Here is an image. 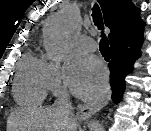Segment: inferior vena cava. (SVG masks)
Here are the masks:
<instances>
[{
  "label": "inferior vena cava",
  "instance_id": "inferior-vena-cava-1",
  "mask_svg": "<svg viewBox=\"0 0 151 131\" xmlns=\"http://www.w3.org/2000/svg\"><path fill=\"white\" fill-rule=\"evenodd\" d=\"M101 99L104 100V97H102ZM53 106L60 109L63 112V114L65 115V119L70 124V128H71L70 130L74 131L76 124H75L74 119L71 116L72 107H71V102L69 101L67 93L65 92V93L61 94L57 98V100L55 101Z\"/></svg>",
  "mask_w": 151,
  "mask_h": 131
}]
</instances>
